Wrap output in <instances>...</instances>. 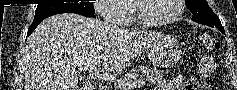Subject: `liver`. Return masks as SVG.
Instances as JSON below:
<instances>
[{"mask_svg": "<svg viewBox=\"0 0 237 90\" xmlns=\"http://www.w3.org/2000/svg\"><path fill=\"white\" fill-rule=\"evenodd\" d=\"M158 40L155 32L119 30L78 14L50 16L26 42L24 90H86L78 84V66L91 74L120 72Z\"/></svg>", "mask_w": 237, "mask_h": 90, "instance_id": "6515ba94", "label": "liver"}]
</instances>
